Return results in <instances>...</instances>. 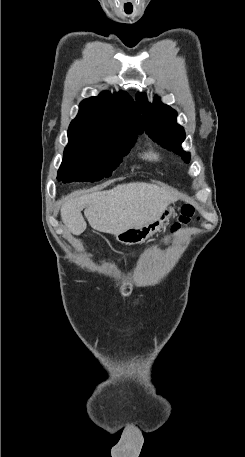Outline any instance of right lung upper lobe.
<instances>
[{
    "mask_svg": "<svg viewBox=\"0 0 245 457\" xmlns=\"http://www.w3.org/2000/svg\"><path fill=\"white\" fill-rule=\"evenodd\" d=\"M75 123L108 124L142 127V117L133 99L126 92L111 95L104 91L96 97L83 100Z\"/></svg>",
    "mask_w": 245,
    "mask_h": 457,
    "instance_id": "right-lung-upper-lobe-1",
    "label": "right lung upper lobe"
}]
</instances>
